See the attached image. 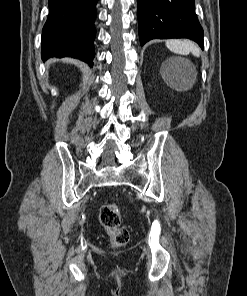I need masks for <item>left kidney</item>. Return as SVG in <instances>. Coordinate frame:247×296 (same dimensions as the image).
<instances>
[{"label": "left kidney", "instance_id": "obj_1", "mask_svg": "<svg viewBox=\"0 0 247 296\" xmlns=\"http://www.w3.org/2000/svg\"><path fill=\"white\" fill-rule=\"evenodd\" d=\"M178 62H180V60H177V59H169L168 61H166V63H167L171 68L179 67Z\"/></svg>", "mask_w": 247, "mask_h": 296}]
</instances>
